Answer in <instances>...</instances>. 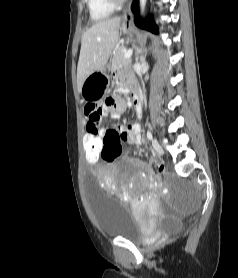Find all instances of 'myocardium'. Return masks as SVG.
Returning <instances> with one entry per match:
<instances>
[{
    "mask_svg": "<svg viewBox=\"0 0 238 278\" xmlns=\"http://www.w3.org/2000/svg\"><path fill=\"white\" fill-rule=\"evenodd\" d=\"M106 1L109 4V6L115 9L121 6L125 0H106Z\"/></svg>",
    "mask_w": 238,
    "mask_h": 278,
    "instance_id": "f54148a6",
    "label": "myocardium"
}]
</instances>
